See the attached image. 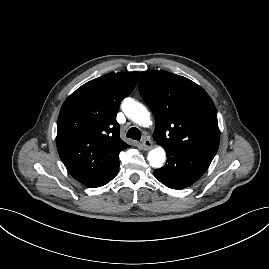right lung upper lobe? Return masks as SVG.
<instances>
[{
	"instance_id": "1",
	"label": "right lung upper lobe",
	"mask_w": 269,
	"mask_h": 269,
	"mask_svg": "<svg viewBox=\"0 0 269 269\" xmlns=\"http://www.w3.org/2000/svg\"><path fill=\"white\" fill-rule=\"evenodd\" d=\"M138 72L109 73L91 80L63 103L57 124V150L68 172L96 186L119 164L128 147L120 138V102L136 86Z\"/></svg>"
}]
</instances>
